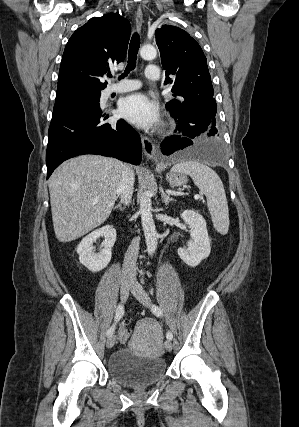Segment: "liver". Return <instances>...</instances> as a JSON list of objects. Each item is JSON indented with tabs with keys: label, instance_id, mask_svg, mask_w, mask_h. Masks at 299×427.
Masks as SVG:
<instances>
[{
	"label": "liver",
	"instance_id": "obj_1",
	"mask_svg": "<svg viewBox=\"0 0 299 427\" xmlns=\"http://www.w3.org/2000/svg\"><path fill=\"white\" fill-rule=\"evenodd\" d=\"M124 164L114 158L82 155L49 179L53 227L60 242L73 241L106 221L115 204Z\"/></svg>",
	"mask_w": 299,
	"mask_h": 427
}]
</instances>
